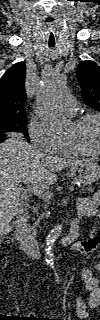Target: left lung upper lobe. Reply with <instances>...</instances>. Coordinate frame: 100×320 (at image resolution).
Segmentation results:
<instances>
[{
    "instance_id": "obj_1",
    "label": "left lung upper lobe",
    "mask_w": 100,
    "mask_h": 320,
    "mask_svg": "<svg viewBox=\"0 0 100 320\" xmlns=\"http://www.w3.org/2000/svg\"><path fill=\"white\" fill-rule=\"evenodd\" d=\"M76 75L83 101L100 111V67L92 61H83L78 65Z\"/></svg>"
}]
</instances>
